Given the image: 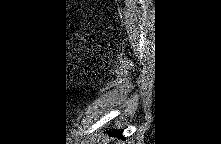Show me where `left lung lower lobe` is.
Segmentation results:
<instances>
[{"label": "left lung lower lobe", "instance_id": "obj_1", "mask_svg": "<svg viewBox=\"0 0 221 144\" xmlns=\"http://www.w3.org/2000/svg\"><path fill=\"white\" fill-rule=\"evenodd\" d=\"M112 136H120L121 138L124 139V137L122 136V131H114L112 133H110Z\"/></svg>", "mask_w": 221, "mask_h": 144}]
</instances>
